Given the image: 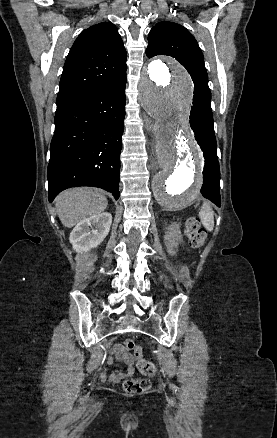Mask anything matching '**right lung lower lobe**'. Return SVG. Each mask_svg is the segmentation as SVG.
I'll return each instance as SVG.
<instances>
[{"mask_svg": "<svg viewBox=\"0 0 277 438\" xmlns=\"http://www.w3.org/2000/svg\"><path fill=\"white\" fill-rule=\"evenodd\" d=\"M104 63L96 70H109ZM126 74L60 105L50 146L49 201L64 189L94 186L119 198Z\"/></svg>", "mask_w": 277, "mask_h": 438, "instance_id": "obj_1", "label": "right lung lower lobe"}]
</instances>
